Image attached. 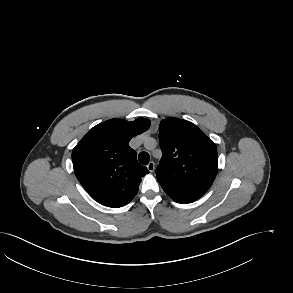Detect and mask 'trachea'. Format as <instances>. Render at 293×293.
Returning <instances> with one entry per match:
<instances>
[{
  "label": "trachea",
  "instance_id": "3493384b",
  "mask_svg": "<svg viewBox=\"0 0 293 293\" xmlns=\"http://www.w3.org/2000/svg\"><path fill=\"white\" fill-rule=\"evenodd\" d=\"M138 160L142 165H147L149 163V154L147 152H141Z\"/></svg>",
  "mask_w": 293,
  "mask_h": 293
}]
</instances>
